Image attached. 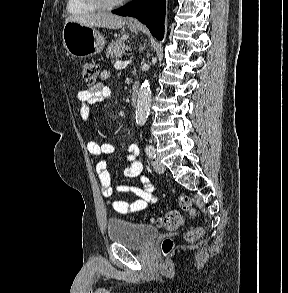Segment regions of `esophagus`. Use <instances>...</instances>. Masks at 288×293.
Returning <instances> with one entry per match:
<instances>
[{
    "label": "esophagus",
    "instance_id": "esophagus-1",
    "mask_svg": "<svg viewBox=\"0 0 288 293\" xmlns=\"http://www.w3.org/2000/svg\"><path fill=\"white\" fill-rule=\"evenodd\" d=\"M128 21H129V23H131V24H138V20H137L135 17H130V18L128 19Z\"/></svg>",
    "mask_w": 288,
    "mask_h": 293
}]
</instances>
